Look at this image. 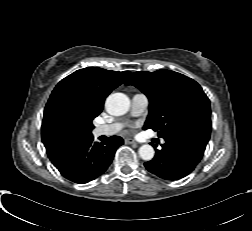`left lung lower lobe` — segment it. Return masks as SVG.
Masks as SVG:
<instances>
[{"mask_svg":"<svg viewBox=\"0 0 252 231\" xmlns=\"http://www.w3.org/2000/svg\"><path fill=\"white\" fill-rule=\"evenodd\" d=\"M161 150L144 165L151 173L167 180H176L187 176L202 158L210 133L189 129L173 132L164 137Z\"/></svg>","mask_w":252,"mask_h":231,"instance_id":"0a47b994","label":"left lung lower lobe"}]
</instances>
